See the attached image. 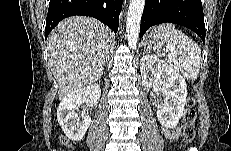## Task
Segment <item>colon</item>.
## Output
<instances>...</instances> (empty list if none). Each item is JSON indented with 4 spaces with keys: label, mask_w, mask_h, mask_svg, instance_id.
I'll use <instances>...</instances> for the list:
<instances>
[{
    "label": "colon",
    "mask_w": 231,
    "mask_h": 151,
    "mask_svg": "<svg viewBox=\"0 0 231 151\" xmlns=\"http://www.w3.org/2000/svg\"><path fill=\"white\" fill-rule=\"evenodd\" d=\"M196 120V112L193 108V100L188 99L187 108L183 115V138L186 142L193 141L195 137L194 123ZM63 142H66L65 139H62Z\"/></svg>",
    "instance_id": "obj_1"
}]
</instances>
